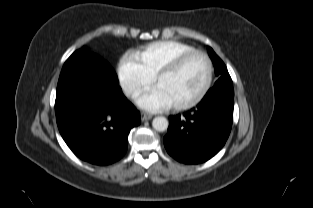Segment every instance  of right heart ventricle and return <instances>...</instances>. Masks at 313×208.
<instances>
[{
  "label": "right heart ventricle",
  "mask_w": 313,
  "mask_h": 208,
  "mask_svg": "<svg viewBox=\"0 0 313 208\" xmlns=\"http://www.w3.org/2000/svg\"><path fill=\"white\" fill-rule=\"evenodd\" d=\"M197 50L193 45L176 40L156 41L135 54L141 65L155 75L178 56Z\"/></svg>",
  "instance_id": "1"
}]
</instances>
